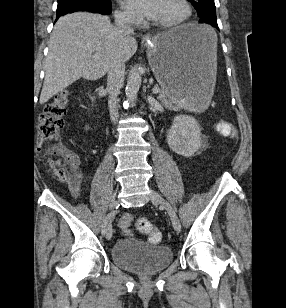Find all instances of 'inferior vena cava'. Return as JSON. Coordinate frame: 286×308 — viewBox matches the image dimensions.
Returning <instances> with one entry per match:
<instances>
[{
	"mask_svg": "<svg viewBox=\"0 0 286 308\" xmlns=\"http://www.w3.org/2000/svg\"><path fill=\"white\" fill-rule=\"evenodd\" d=\"M116 26L118 29L125 33L132 34L133 28L128 24V20L121 16L116 18ZM125 75V62L122 60H115L108 71L107 77V90L109 93L108 106L110 119L113 123L118 121L119 113L117 108V96L120 93V89L123 86Z\"/></svg>",
	"mask_w": 286,
	"mask_h": 308,
	"instance_id": "602c4592",
	"label": "inferior vena cava"
}]
</instances>
